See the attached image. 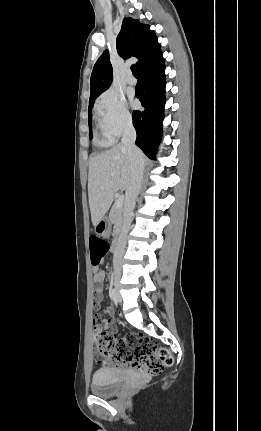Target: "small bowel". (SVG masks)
Listing matches in <instances>:
<instances>
[{
  "instance_id": "small-bowel-1",
  "label": "small bowel",
  "mask_w": 261,
  "mask_h": 431,
  "mask_svg": "<svg viewBox=\"0 0 261 431\" xmlns=\"http://www.w3.org/2000/svg\"><path fill=\"white\" fill-rule=\"evenodd\" d=\"M94 271V283H95V303H100L103 300V293H104V281H105V272L103 270H99L97 267L93 269ZM108 317L114 318L115 312L111 310H107ZM94 333L97 334L99 332L108 331L112 328V321L110 319H102L101 312L95 311L94 312Z\"/></svg>"
}]
</instances>
